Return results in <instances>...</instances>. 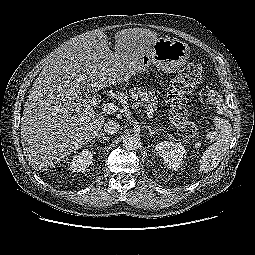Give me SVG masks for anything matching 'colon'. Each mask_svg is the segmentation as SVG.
I'll list each match as a JSON object with an SVG mask.
<instances>
[{
  "label": "colon",
  "instance_id": "obj_1",
  "mask_svg": "<svg viewBox=\"0 0 255 255\" xmlns=\"http://www.w3.org/2000/svg\"><path fill=\"white\" fill-rule=\"evenodd\" d=\"M202 79V66L198 62H191L184 67L175 78L172 90L169 93L168 101L170 105L169 116L171 122L178 128L184 137L198 138L200 133L197 126L188 119L185 95ZM208 101L217 104L220 95L217 91L208 93Z\"/></svg>",
  "mask_w": 255,
  "mask_h": 255
}]
</instances>
